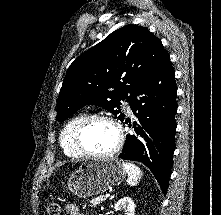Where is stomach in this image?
Masks as SVG:
<instances>
[{
  "label": "stomach",
  "mask_w": 221,
  "mask_h": 215,
  "mask_svg": "<svg viewBox=\"0 0 221 215\" xmlns=\"http://www.w3.org/2000/svg\"><path fill=\"white\" fill-rule=\"evenodd\" d=\"M126 176L122 164L116 159L85 161L68 179V189L79 198L102 194L120 184Z\"/></svg>",
  "instance_id": "0dacf381"
}]
</instances>
